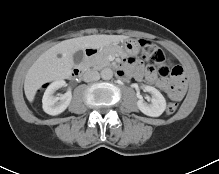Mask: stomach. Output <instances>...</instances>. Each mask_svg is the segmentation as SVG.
<instances>
[{
    "mask_svg": "<svg viewBox=\"0 0 219 174\" xmlns=\"http://www.w3.org/2000/svg\"><path fill=\"white\" fill-rule=\"evenodd\" d=\"M110 50L124 52L128 55H137L140 51V45L136 40L126 39L102 49L103 52Z\"/></svg>",
    "mask_w": 219,
    "mask_h": 174,
    "instance_id": "1",
    "label": "stomach"
}]
</instances>
